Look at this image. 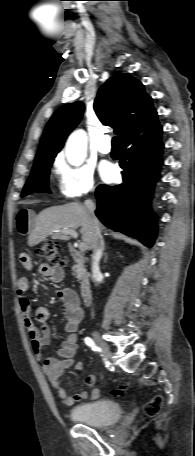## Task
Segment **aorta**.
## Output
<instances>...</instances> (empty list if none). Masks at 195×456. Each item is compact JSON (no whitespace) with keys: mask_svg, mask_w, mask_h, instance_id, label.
Segmentation results:
<instances>
[{"mask_svg":"<svg viewBox=\"0 0 195 456\" xmlns=\"http://www.w3.org/2000/svg\"><path fill=\"white\" fill-rule=\"evenodd\" d=\"M87 134L84 130L74 131L66 144V157L73 166H80L86 158Z\"/></svg>","mask_w":195,"mask_h":456,"instance_id":"obj_1","label":"aorta"}]
</instances>
